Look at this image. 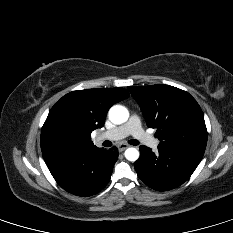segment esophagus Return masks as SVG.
I'll return each mask as SVG.
<instances>
[{"mask_svg":"<svg viewBox=\"0 0 233 233\" xmlns=\"http://www.w3.org/2000/svg\"><path fill=\"white\" fill-rule=\"evenodd\" d=\"M129 146L125 143H121L120 145H118V150L120 152L124 151L126 148H128Z\"/></svg>","mask_w":233,"mask_h":233,"instance_id":"esophagus-1","label":"esophagus"}]
</instances>
